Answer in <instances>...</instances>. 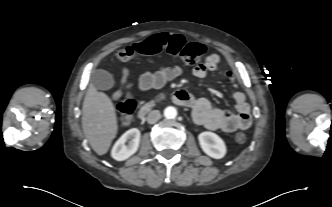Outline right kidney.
<instances>
[{"label":"right kidney","instance_id":"right-kidney-1","mask_svg":"<svg viewBox=\"0 0 332 207\" xmlns=\"http://www.w3.org/2000/svg\"><path fill=\"white\" fill-rule=\"evenodd\" d=\"M128 144H126V142ZM140 143V131L132 128L126 131L114 144L111 150V156L117 161H124L132 156L138 150Z\"/></svg>","mask_w":332,"mask_h":207}]
</instances>
